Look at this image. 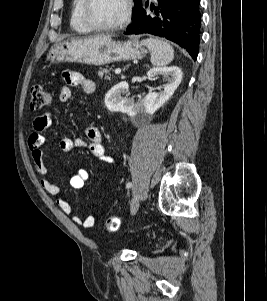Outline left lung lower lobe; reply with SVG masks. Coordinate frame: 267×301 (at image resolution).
<instances>
[{"label": "left lung lower lobe", "instance_id": "obj_1", "mask_svg": "<svg viewBox=\"0 0 267 301\" xmlns=\"http://www.w3.org/2000/svg\"><path fill=\"white\" fill-rule=\"evenodd\" d=\"M199 3V0H158L157 7H150L152 13L144 8L148 2L143 3L124 33L164 37L186 49L196 60L201 23Z\"/></svg>", "mask_w": 267, "mask_h": 301}]
</instances>
